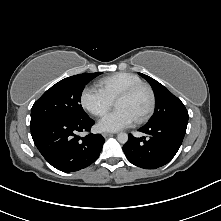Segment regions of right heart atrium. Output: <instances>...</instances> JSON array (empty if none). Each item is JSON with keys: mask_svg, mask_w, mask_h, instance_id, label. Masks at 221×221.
<instances>
[{"mask_svg": "<svg viewBox=\"0 0 221 221\" xmlns=\"http://www.w3.org/2000/svg\"><path fill=\"white\" fill-rule=\"evenodd\" d=\"M82 107L94 116H103L111 108V101L100 89L95 87H85L80 95Z\"/></svg>", "mask_w": 221, "mask_h": 221, "instance_id": "1", "label": "right heart atrium"}]
</instances>
